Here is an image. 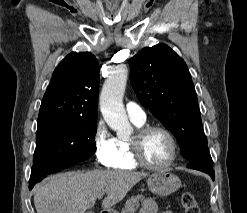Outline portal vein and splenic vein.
Returning <instances> with one entry per match:
<instances>
[{
  "label": "portal vein and splenic vein",
  "instance_id": "1",
  "mask_svg": "<svg viewBox=\"0 0 247 213\" xmlns=\"http://www.w3.org/2000/svg\"><path fill=\"white\" fill-rule=\"evenodd\" d=\"M104 196V192H102V193H100L99 195H98V198H102Z\"/></svg>",
  "mask_w": 247,
  "mask_h": 213
}]
</instances>
